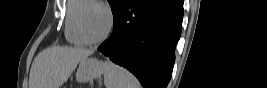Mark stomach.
<instances>
[{
	"label": "stomach",
	"mask_w": 267,
	"mask_h": 88,
	"mask_svg": "<svg viewBox=\"0 0 267 88\" xmlns=\"http://www.w3.org/2000/svg\"><path fill=\"white\" fill-rule=\"evenodd\" d=\"M103 63L96 58H86L80 61L76 72V80L80 83L92 81L103 73Z\"/></svg>",
	"instance_id": "0dacf381"
}]
</instances>
